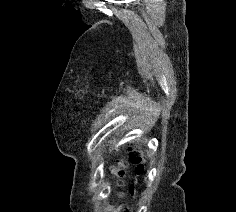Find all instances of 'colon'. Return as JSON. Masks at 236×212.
<instances>
[{
    "instance_id": "colon-1",
    "label": "colon",
    "mask_w": 236,
    "mask_h": 212,
    "mask_svg": "<svg viewBox=\"0 0 236 212\" xmlns=\"http://www.w3.org/2000/svg\"><path fill=\"white\" fill-rule=\"evenodd\" d=\"M147 156V153L142 148L141 144H135L130 146L129 148V161L132 164H135L137 166L136 172L138 175H141L144 172L145 166H144V160ZM124 163L121 159H118L116 161L115 166L112 168V173L115 180H119L124 175ZM132 191L134 192V188H132ZM125 212H133L131 209L125 210Z\"/></svg>"
}]
</instances>
